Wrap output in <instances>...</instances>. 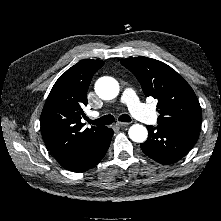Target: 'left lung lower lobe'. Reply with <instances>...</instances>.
<instances>
[{
	"mask_svg": "<svg viewBox=\"0 0 221 221\" xmlns=\"http://www.w3.org/2000/svg\"><path fill=\"white\" fill-rule=\"evenodd\" d=\"M149 136L141 143L142 151L161 164L175 163L183 158L194 146L199 131L184 128H170L158 125L147 126Z\"/></svg>",
	"mask_w": 221,
	"mask_h": 221,
	"instance_id": "0a47b994",
	"label": "left lung lower lobe"
}]
</instances>
